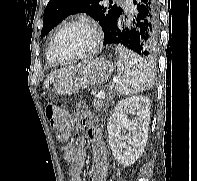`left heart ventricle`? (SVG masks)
<instances>
[{"mask_svg":"<svg viewBox=\"0 0 197 181\" xmlns=\"http://www.w3.org/2000/svg\"><path fill=\"white\" fill-rule=\"evenodd\" d=\"M93 43V33L85 25L77 24L64 30L58 41V52L61 58L69 59L85 52Z\"/></svg>","mask_w":197,"mask_h":181,"instance_id":"1","label":"left heart ventricle"}]
</instances>
